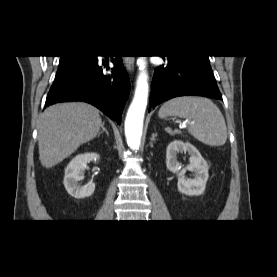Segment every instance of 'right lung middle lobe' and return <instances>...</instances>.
Returning <instances> with one entry per match:
<instances>
[{
	"instance_id": "obj_1",
	"label": "right lung middle lobe",
	"mask_w": 277,
	"mask_h": 277,
	"mask_svg": "<svg viewBox=\"0 0 277 277\" xmlns=\"http://www.w3.org/2000/svg\"><path fill=\"white\" fill-rule=\"evenodd\" d=\"M94 56L81 55V56H61L59 67L55 76V80H59L67 74L75 71L76 69L84 66L91 61Z\"/></svg>"
}]
</instances>
